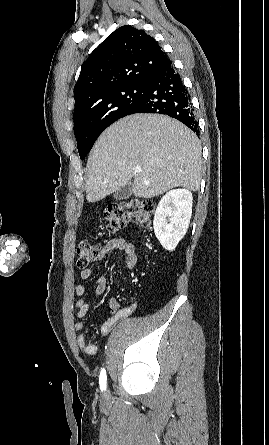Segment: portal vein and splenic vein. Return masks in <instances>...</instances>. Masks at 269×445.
Returning a JSON list of instances; mask_svg holds the SVG:
<instances>
[{"label":"portal vein and splenic vein","instance_id":"1","mask_svg":"<svg viewBox=\"0 0 269 445\" xmlns=\"http://www.w3.org/2000/svg\"><path fill=\"white\" fill-rule=\"evenodd\" d=\"M134 171H135L136 173H139V172H141V168H140V167H135V168H134Z\"/></svg>","mask_w":269,"mask_h":445}]
</instances>
